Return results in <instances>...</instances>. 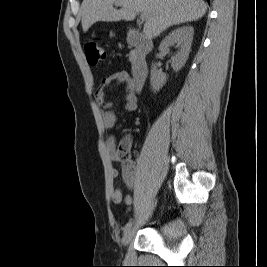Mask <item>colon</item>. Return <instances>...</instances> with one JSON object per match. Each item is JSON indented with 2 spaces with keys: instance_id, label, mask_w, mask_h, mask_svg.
Here are the masks:
<instances>
[{
  "instance_id": "obj_1",
  "label": "colon",
  "mask_w": 267,
  "mask_h": 267,
  "mask_svg": "<svg viewBox=\"0 0 267 267\" xmlns=\"http://www.w3.org/2000/svg\"><path fill=\"white\" fill-rule=\"evenodd\" d=\"M86 58L89 64L96 65L99 62L103 61L106 57L105 48L96 42H90L85 47ZM118 158L121 161H128L130 159V142L127 139L121 141L118 150Z\"/></svg>"
}]
</instances>
